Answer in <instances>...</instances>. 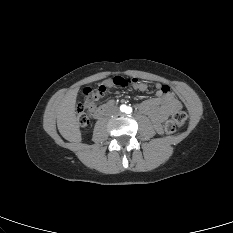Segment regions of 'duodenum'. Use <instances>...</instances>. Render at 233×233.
Wrapping results in <instances>:
<instances>
[{
    "mask_svg": "<svg viewBox=\"0 0 233 233\" xmlns=\"http://www.w3.org/2000/svg\"><path fill=\"white\" fill-rule=\"evenodd\" d=\"M113 106L112 102L106 103L102 106H100L99 108H97L94 112H93V116L95 118H100L103 114H105L111 107Z\"/></svg>",
    "mask_w": 233,
    "mask_h": 233,
    "instance_id": "410a0bca",
    "label": "duodenum"
}]
</instances>
